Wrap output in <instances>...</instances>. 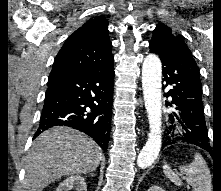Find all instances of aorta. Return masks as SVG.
<instances>
[{
    "label": "aorta",
    "mask_w": 221,
    "mask_h": 191,
    "mask_svg": "<svg viewBox=\"0 0 221 191\" xmlns=\"http://www.w3.org/2000/svg\"><path fill=\"white\" fill-rule=\"evenodd\" d=\"M161 77L162 65L159 57L156 54L147 55L142 65V89L150 132L137 158V165L140 168L150 166L161 149Z\"/></svg>",
    "instance_id": "1"
}]
</instances>
